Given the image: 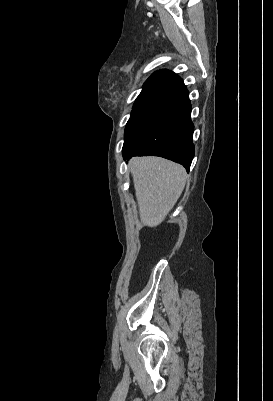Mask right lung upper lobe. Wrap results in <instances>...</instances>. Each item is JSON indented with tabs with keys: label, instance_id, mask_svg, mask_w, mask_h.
<instances>
[{
	"label": "right lung upper lobe",
	"instance_id": "obj_1",
	"mask_svg": "<svg viewBox=\"0 0 273 401\" xmlns=\"http://www.w3.org/2000/svg\"><path fill=\"white\" fill-rule=\"evenodd\" d=\"M185 89L186 86L177 74L169 70H159L147 79L139 96L156 95L172 98Z\"/></svg>",
	"mask_w": 273,
	"mask_h": 401
}]
</instances>
